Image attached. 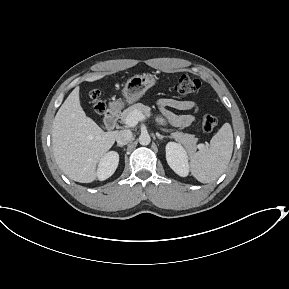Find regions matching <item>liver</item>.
<instances>
[{"label": "liver", "instance_id": "1", "mask_svg": "<svg viewBox=\"0 0 289 289\" xmlns=\"http://www.w3.org/2000/svg\"><path fill=\"white\" fill-rule=\"evenodd\" d=\"M92 75L86 81L103 78ZM117 132H104L80 105L79 86L69 94L59 108L52 127V148L55 161L70 179L90 183L96 179V167L101 157L112 147Z\"/></svg>", "mask_w": 289, "mask_h": 289}]
</instances>
